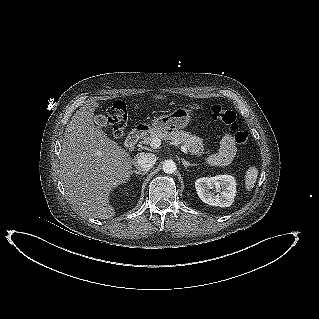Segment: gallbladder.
<instances>
[{"mask_svg":"<svg viewBox=\"0 0 319 319\" xmlns=\"http://www.w3.org/2000/svg\"><path fill=\"white\" fill-rule=\"evenodd\" d=\"M94 121L99 127H106L108 124L106 117L103 115L95 116Z\"/></svg>","mask_w":319,"mask_h":319,"instance_id":"gallbladder-1","label":"gallbladder"}]
</instances>
